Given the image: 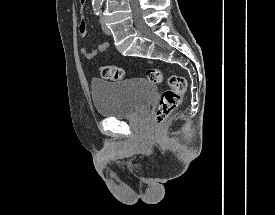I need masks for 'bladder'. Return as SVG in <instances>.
Returning <instances> with one entry per match:
<instances>
[{"mask_svg":"<svg viewBox=\"0 0 275 215\" xmlns=\"http://www.w3.org/2000/svg\"><path fill=\"white\" fill-rule=\"evenodd\" d=\"M90 90L98 115L113 119L134 116L157 95V86L141 77L114 82L93 79Z\"/></svg>","mask_w":275,"mask_h":215,"instance_id":"31cf9c89","label":"bladder"}]
</instances>
